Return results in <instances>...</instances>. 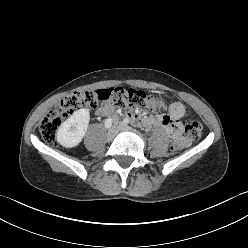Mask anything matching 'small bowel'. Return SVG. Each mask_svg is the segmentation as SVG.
Wrapping results in <instances>:
<instances>
[{
	"label": "small bowel",
	"instance_id": "c3829d8e",
	"mask_svg": "<svg viewBox=\"0 0 248 248\" xmlns=\"http://www.w3.org/2000/svg\"><path fill=\"white\" fill-rule=\"evenodd\" d=\"M113 108L111 106H101L96 110L99 116H107L111 114ZM185 115V107L180 102L173 103L169 108L168 114L157 115L156 117H142L132 114L130 118L133 121L140 122L146 126L162 127L170 138H178L183 132L182 118Z\"/></svg>",
	"mask_w": 248,
	"mask_h": 248
}]
</instances>
